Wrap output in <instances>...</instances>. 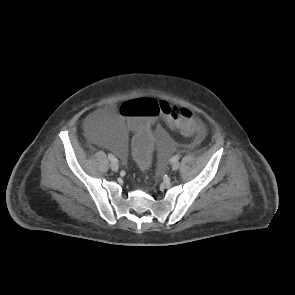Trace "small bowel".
Segmentation results:
<instances>
[{"label": "small bowel", "mask_w": 295, "mask_h": 295, "mask_svg": "<svg viewBox=\"0 0 295 295\" xmlns=\"http://www.w3.org/2000/svg\"><path fill=\"white\" fill-rule=\"evenodd\" d=\"M166 122V121H165ZM154 126V125H153ZM204 127V126H203ZM129 128V127H128ZM167 135V134H166ZM204 136V131L201 133V134H199V135H197V140H201L202 139V137ZM161 141V140H160ZM101 145V144H100Z\"/></svg>", "instance_id": "obj_1"}]
</instances>
